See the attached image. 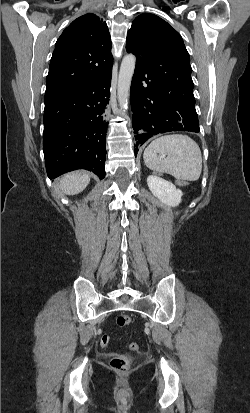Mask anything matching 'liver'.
<instances>
[{
  "label": "liver",
  "mask_w": 250,
  "mask_h": 413,
  "mask_svg": "<svg viewBox=\"0 0 250 413\" xmlns=\"http://www.w3.org/2000/svg\"><path fill=\"white\" fill-rule=\"evenodd\" d=\"M90 176L86 172H71L65 174L60 180V187L67 195H75L82 192L89 184Z\"/></svg>",
  "instance_id": "liver-1"
}]
</instances>
